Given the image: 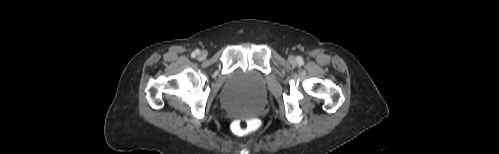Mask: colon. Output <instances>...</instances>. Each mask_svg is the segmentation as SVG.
Wrapping results in <instances>:
<instances>
[{
  "label": "colon",
  "mask_w": 499,
  "mask_h": 154,
  "mask_svg": "<svg viewBox=\"0 0 499 154\" xmlns=\"http://www.w3.org/2000/svg\"><path fill=\"white\" fill-rule=\"evenodd\" d=\"M259 126L260 123L257 120L248 121L245 119H238L233 123V130L236 133L244 134L257 130Z\"/></svg>",
  "instance_id": "obj_1"
}]
</instances>
